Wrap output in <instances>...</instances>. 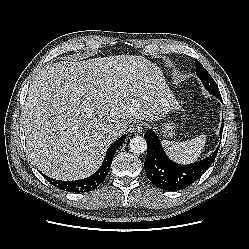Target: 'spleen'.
Returning a JSON list of instances; mask_svg holds the SVG:
<instances>
[{"mask_svg":"<svg viewBox=\"0 0 249 249\" xmlns=\"http://www.w3.org/2000/svg\"><path fill=\"white\" fill-rule=\"evenodd\" d=\"M206 143L205 135H200L192 140L175 142L163 141V146L168 156L176 162L193 163L200 157Z\"/></svg>","mask_w":249,"mask_h":249,"instance_id":"obj_1","label":"spleen"}]
</instances>
